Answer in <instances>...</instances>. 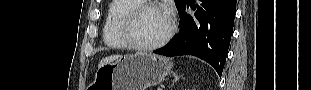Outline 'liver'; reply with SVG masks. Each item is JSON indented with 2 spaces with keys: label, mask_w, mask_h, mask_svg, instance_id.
Listing matches in <instances>:
<instances>
[{
  "label": "liver",
  "mask_w": 311,
  "mask_h": 90,
  "mask_svg": "<svg viewBox=\"0 0 311 90\" xmlns=\"http://www.w3.org/2000/svg\"><path fill=\"white\" fill-rule=\"evenodd\" d=\"M122 56L121 55H112V56H108V57H105L103 58L99 64H98V68L106 65V64H111L113 63L114 61H117L118 59H120Z\"/></svg>",
  "instance_id": "1"
}]
</instances>
